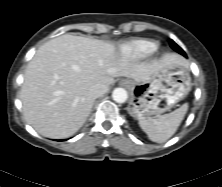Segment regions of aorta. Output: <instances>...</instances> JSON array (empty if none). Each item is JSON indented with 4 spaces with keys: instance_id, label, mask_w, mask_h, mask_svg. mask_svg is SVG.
<instances>
[{
    "instance_id": "aorta-1",
    "label": "aorta",
    "mask_w": 222,
    "mask_h": 187,
    "mask_svg": "<svg viewBox=\"0 0 222 187\" xmlns=\"http://www.w3.org/2000/svg\"><path fill=\"white\" fill-rule=\"evenodd\" d=\"M112 98L117 103H124L127 98V91L123 88H115L112 92Z\"/></svg>"
}]
</instances>
